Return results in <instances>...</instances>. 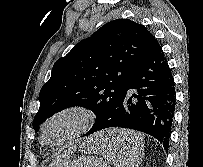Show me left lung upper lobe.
<instances>
[{"mask_svg":"<svg viewBox=\"0 0 203 167\" xmlns=\"http://www.w3.org/2000/svg\"><path fill=\"white\" fill-rule=\"evenodd\" d=\"M156 43L143 25L128 19L110 21L80 41L55 62L50 79L41 88L35 131L46 119L72 106L96 114L87 134L98 129L115 110L132 69Z\"/></svg>","mask_w":203,"mask_h":167,"instance_id":"obj_1","label":"left lung upper lobe"}]
</instances>
